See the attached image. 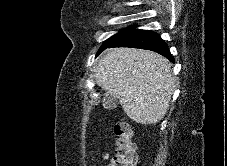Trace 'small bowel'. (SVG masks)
<instances>
[{"mask_svg":"<svg viewBox=\"0 0 227 166\" xmlns=\"http://www.w3.org/2000/svg\"><path fill=\"white\" fill-rule=\"evenodd\" d=\"M102 158L104 159V160H108L109 159V154L108 153H103L102 154Z\"/></svg>","mask_w":227,"mask_h":166,"instance_id":"small-bowel-1","label":"small bowel"}]
</instances>
